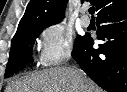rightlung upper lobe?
<instances>
[{
    "label": "right lung upper lobe",
    "mask_w": 127,
    "mask_h": 92,
    "mask_svg": "<svg viewBox=\"0 0 127 92\" xmlns=\"http://www.w3.org/2000/svg\"><path fill=\"white\" fill-rule=\"evenodd\" d=\"M66 2L67 0H31L13 38L31 27L50 26L60 22L63 19ZM90 2L96 7L98 16L127 7V0H90Z\"/></svg>",
    "instance_id": "obj_1"
}]
</instances>
